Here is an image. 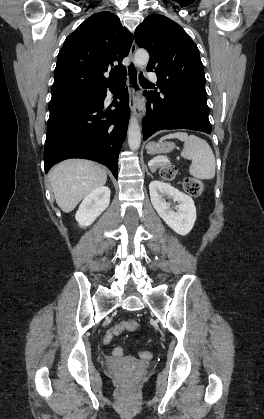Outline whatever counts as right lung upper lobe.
Listing matches in <instances>:
<instances>
[{
  "mask_svg": "<svg viewBox=\"0 0 264 419\" xmlns=\"http://www.w3.org/2000/svg\"><path fill=\"white\" fill-rule=\"evenodd\" d=\"M132 40L133 35L111 12L86 19L66 38L58 54L52 98L96 92L116 84L126 71L121 61L128 55Z\"/></svg>",
  "mask_w": 264,
  "mask_h": 419,
  "instance_id": "obj_1",
  "label": "right lung upper lobe"
}]
</instances>
